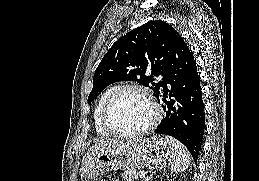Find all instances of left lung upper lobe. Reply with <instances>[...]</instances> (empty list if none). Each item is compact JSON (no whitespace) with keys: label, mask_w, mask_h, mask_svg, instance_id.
<instances>
[{"label":"left lung upper lobe","mask_w":259,"mask_h":181,"mask_svg":"<svg viewBox=\"0 0 259 181\" xmlns=\"http://www.w3.org/2000/svg\"><path fill=\"white\" fill-rule=\"evenodd\" d=\"M179 33L161 20L150 21L118 39L105 54L93 77L90 104L108 85L137 81L160 94L170 65L171 52ZM150 72L151 75L146 74ZM162 75L163 81L154 82Z\"/></svg>","instance_id":"5c2ea615"}]
</instances>
